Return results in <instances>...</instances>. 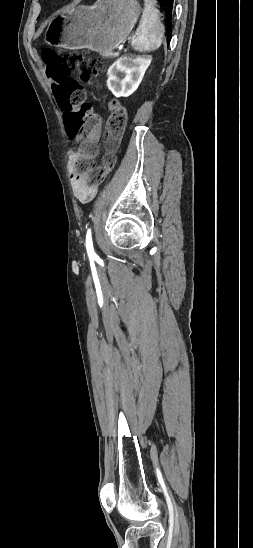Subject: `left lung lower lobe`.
Masks as SVG:
<instances>
[{
	"instance_id": "1",
	"label": "left lung lower lobe",
	"mask_w": 253,
	"mask_h": 548,
	"mask_svg": "<svg viewBox=\"0 0 253 548\" xmlns=\"http://www.w3.org/2000/svg\"><path fill=\"white\" fill-rule=\"evenodd\" d=\"M161 7L163 8L165 14H166V17H167V26L169 28V34H168V40L170 41L171 39V36H172V23H171V20H172V16H173V8H174V0H157Z\"/></svg>"
}]
</instances>
